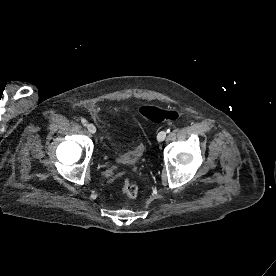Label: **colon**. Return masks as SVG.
Returning <instances> with one entry per match:
<instances>
[{"label": "colon", "instance_id": "obj_1", "mask_svg": "<svg viewBox=\"0 0 276 276\" xmlns=\"http://www.w3.org/2000/svg\"><path fill=\"white\" fill-rule=\"evenodd\" d=\"M139 113L145 120L153 123L173 121L179 116V112L176 109L160 108L150 105L141 106L139 108ZM121 190L123 194L130 199L136 198L138 195L137 185L128 180L121 182Z\"/></svg>", "mask_w": 276, "mask_h": 276}]
</instances>
